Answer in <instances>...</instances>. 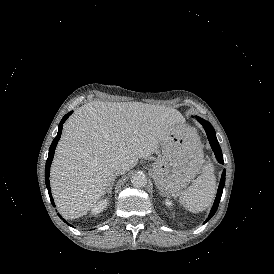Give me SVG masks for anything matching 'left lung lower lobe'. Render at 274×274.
<instances>
[{"label":"left lung lower lobe","mask_w":274,"mask_h":274,"mask_svg":"<svg viewBox=\"0 0 274 274\" xmlns=\"http://www.w3.org/2000/svg\"><path fill=\"white\" fill-rule=\"evenodd\" d=\"M196 118L203 125V127H204V129L207 133L208 140L210 141V145H211V147H212V149L215 153V156H216L218 162L223 164L224 162H223V158H222V151H221V148H220L219 143L217 141L216 133H215V130H214L213 126L208 121L203 120L200 117H196ZM224 184H225V170L222 173V178L220 180V184H219V188H218V191H217V196H216L214 205H213L212 210L209 214V217L206 219L205 223L217 211V208H218V205H219V202H220V199H221V195H222V192H223Z\"/></svg>","instance_id":"0a47b994"}]
</instances>
